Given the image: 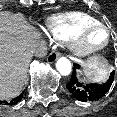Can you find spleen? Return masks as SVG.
I'll use <instances>...</instances> for the list:
<instances>
[{
	"label": "spleen",
	"instance_id": "spleen-1",
	"mask_svg": "<svg viewBox=\"0 0 117 117\" xmlns=\"http://www.w3.org/2000/svg\"><path fill=\"white\" fill-rule=\"evenodd\" d=\"M84 73L90 80L94 82H102L109 74V65L106 61L93 56L84 63Z\"/></svg>",
	"mask_w": 117,
	"mask_h": 117
}]
</instances>
